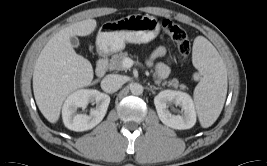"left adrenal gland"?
I'll list each match as a JSON object with an SVG mask.
<instances>
[{"instance_id": "a2214340", "label": "left adrenal gland", "mask_w": 267, "mask_h": 166, "mask_svg": "<svg viewBox=\"0 0 267 166\" xmlns=\"http://www.w3.org/2000/svg\"><path fill=\"white\" fill-rule=\"evenodd\" d=\"M148 85L150 86V90L151 91L160 89V88H158V87H156L154 85H150V84H148Z\"/></svg>"}]
</instances>
